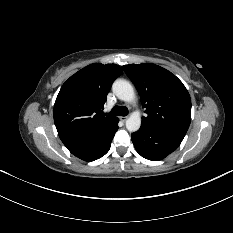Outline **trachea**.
Masks as SVG:
<instances>
[{
    "instance_id": "3493384b",
    "label": "trachea",
    "mask_w": 233,
    "mask_h": 233,
    "mask_svg": "<svg viewBox=\"0 0 233 233\" xmlns=\"http://www.w3.org/2000/svg\"><path fill=\"white\" fill-rule=\"evenodd\" d=\"M110 114L113 116H127L128 108L124 106H114Z\"/></svg>"
}]
</instances>
